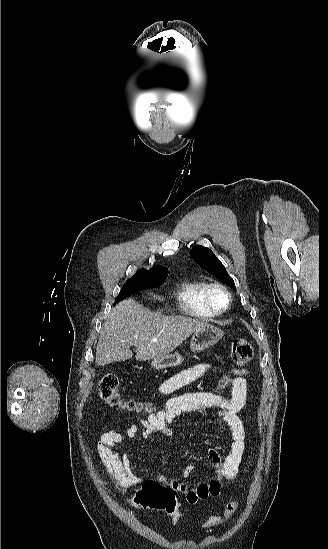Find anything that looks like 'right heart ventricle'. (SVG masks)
Listing matches in <instances>:
<instances>
[{"mask_svg":"<svg viewBox=\"0 0 328 549\" xmlns=\"http://www.w3.org/2000/svg\"><path fill=\"white\" fill-rule=\"evenodd\" d=\"M208 285L206 281L189 280L180 287L176 310H183V319H199L201 323L216 317L207 309L205 291Z\"/></svg>","mask_w":328,"mask_h":549,"instance_id":"1","label":"right heart ventricle"}]
</instances>
